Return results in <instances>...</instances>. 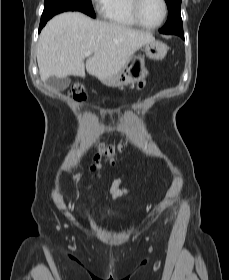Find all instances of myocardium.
Segmentation results:
<instances>
[{"instance_id": "myocardium-1", "label": "myocardium", "mask_w": 229, "mask_h": 280, "mask_svg": "<svg viewBox=\"0 0 229 280\" xmlns=\"http://www.w3.org/2000/svg\"><path fill=\"white\" fill-rule=\"evenodd\" d=\"M142 1L143 0H131L130 10H131V14H132L133 19L135 20V22L139 26H141L143 28H146V29H157V28H159L165 22L167 14H168V6H167L166 0H160V2L162 4V8H163V15H162L161 20L155 25H148L141 19L140 7H141V4H142Z\"/></svg>"}]
</instances>
